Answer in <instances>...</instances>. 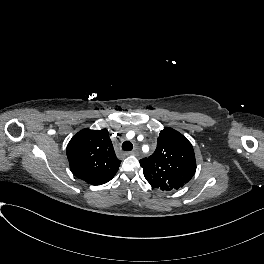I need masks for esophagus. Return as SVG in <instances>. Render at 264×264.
Segmentation results:
<instances>
[{
    "label": "esophagus",
    "instance_id": "1",
    "mask_svg": "<svg viewBox=\"0 0 264 264\" xmlns=\"http://www.w3.org/2000/svg\"><path fill=\"white\" fill-rule=\"evenodd\" d=\"M136 151H130V152H126V155H135Z\"/></svg>",
    "mask_w": 264,
    "mask_h": 264
}]
</instances>
